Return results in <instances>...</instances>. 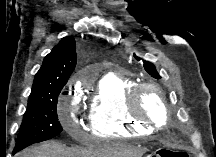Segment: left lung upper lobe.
<instances>
[{"label":"left lung upper lobe","instance_id":"left-lung-upper-lobe-1","mask_svg":"<svg viewBox=\"0 0 216 157\" xmlns=\"http://www.w3.org/2000/svg\"><path fill=\"white\" fill-rule=\"evenodd\" d=\"M134 57L136 58V60H140L139 57H137L135 54H134ZM144 62V69L154 78H157V79H160V75L159 73L156 71L154 65L148 61H143Z\"/></svg>","mask_w":216,"mask_h":157}]
</instances>
